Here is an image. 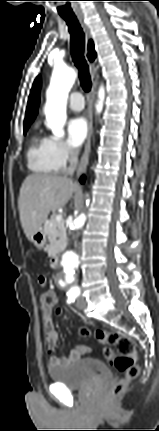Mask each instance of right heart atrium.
<instances>
[{
    "label": "right heart atrium",
    "mask_w": 159,
    "mask_h": 431,
    "mask_svg": "<svg viewBox=\"0 0 159 431\" xmlns=\"http://www.w3.org/2000/svg\"><path fill=\"white\" fill-rule=\"evenodd\" d=\"M47 156L55 171L63 170L75 157L72 147L63 139L49 136L45 139Z\"/></svg>",
    "instance_id": "obj_1"
}]
</instances>
